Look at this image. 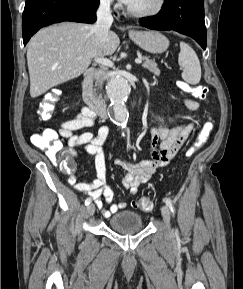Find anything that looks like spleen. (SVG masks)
Here are the masks:
<instances>
[{
    "instance_id": "3e777b00",
    "label": "spleen",
    "mask_w": 243,
    "mask_h": 289,
    "mask_svg": "<svg viewBox=\"0 0 243 289\" xmlns=\"http://www.w3.org/2000/svg\"><path fill=\"white\" fill-rule=\"evenodd\" d=\"M178 63L183 68L182 78L189 84L196 85L201 79L200 61L195 51L185 42H180Z\"/></svg>"
}]
</instances>
